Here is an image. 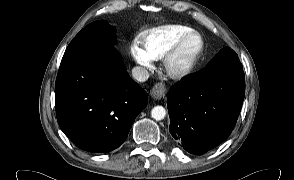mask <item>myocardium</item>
Here are the masks:
<instances>
[{"instance_id": "myocardium-1", "label": "myocardium", "mask_w": 294, "mask_h": 180, "mask_svg": "<svg viewBox=\"0 0 294 180\" xmlns=\"http://www.w3.org/2000/svg\"><path fill=\"white\" fill-rule=\"evenodd\" d=\"M192 38L199 40V46L195 53L189 58V60L183 65H176V59L179 56L183 46ZM204 40L200 33L191 31L190 33L179 39L163 56L161 70L163 74L172 80H182L189 76L197 64L199 58L204 51Z\"/></svg>"}]
</instances>
